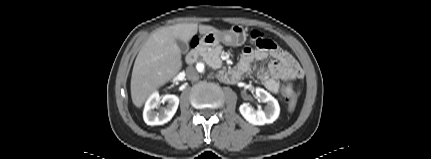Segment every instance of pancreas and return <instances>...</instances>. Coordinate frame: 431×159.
Here are the masks:
<instances>
[{
  "label": "pancreas",
  "instance_id": "pancreas-1",
  "mask_svg": "<svg viewBox=\"0 0 431 159\" xmlns=\"http://www.w3.org/2000/svg\"><path fill=\"white\" fill-rule=\"evenodd\" d=\"M223 47L221 45H217L216 47L207 48L203 50L200 55L203 58V61L213 68H219L222 64L220 59V54L222 53Z\"/></svg>",
  "mask_w": 431,
  "mask_h": 159
}]
</instances>
